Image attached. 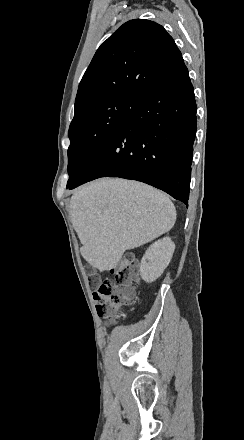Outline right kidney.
Masks as SVG:
<instances>
[{
	"mask_svg": "<svg viewBox=\"0 0 244 440\" xmlns=\"http://www.w3.org/2000/svg\"><path fill=\"white\" fill-rule=\"evenodd\" d=\"M175 244L171 238H163L154 242L148 250H146L140 266V276L144 282H155L160 278L165 268L170 264L174 254Z\"/></svg>",
	"mask_w": 244,
	"mask_h": 440,
	"instance_id": "ca27d5eb",
	"label": "right kidney"
}]
</instances>
